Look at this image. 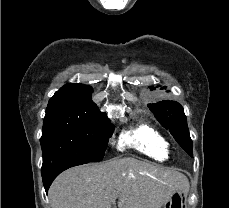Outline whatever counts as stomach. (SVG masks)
<instances>
[{
	"instance_id": "stomach-1",
	"label": "stomach",
	"mask_w": 229,
	"mask_h": 208,
	"mask_svg": "<svg viewBox=\"0 0 229 208\" xmlns=\"http://www.w3.org/2000/svg\"><path fill=\"white\" fill-rule=\"evenodd\" d=\"M187 194L186 190H174L171 196H167L162 208H186Z\"/></svg>"
}]
</instances>
